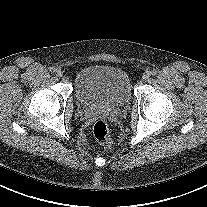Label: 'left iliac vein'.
<instances>
[{
	"label": "left iliac vein",
	"mask_w": 207,
	"mask_h": 207,
	"mask_svg": "<svg viewBox=\"0 0 207 207\" xmlns=\"http://www.w3.org/2000/svg\"><path fill=\"white\" fill-rule=\"evenodd\" d=\"M149 78H150V72H145V73L143 74V76H142V79H143L144 81H147Z\"/></svg>",
	"instance_id": "4c4485c4"
}]
</instances>
